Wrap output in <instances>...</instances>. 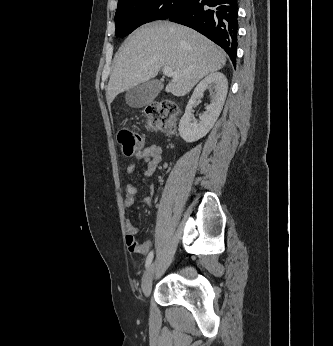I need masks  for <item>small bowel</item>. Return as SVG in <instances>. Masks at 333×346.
Instances as JSON below:
<instances>
[{
    "instance_id": "c3829d8e",
    "label": "small bowel",
    "mask_w": 333,
    "mask_h": 346,
    "mask_svg": "<svg viewBox=\"0 0 333 346\" xmlns=\"http://www.w3.org/2000/svg\"><path fill=\"white\" fill-rule=\"evenodd\" d=\"M135 158L143 162V175L146 177L152 176L157 170L158 165L163 158V150L161 146L151 144L145 146L142 150L135 154ZM136 166L130 163L126 166V173L131 175L135 172ZM153 186H149V194L145 196L144 203L150 205L152 203ZM137 195V189L133 184H128L126 187L125 206L130 207L134 204ZM127 241L126 246L130 250V254H153L152 241L147 240L143 243V239H138L137 234L139 228L131 219L126 220Z\"/></svg>"
}]
</instances>
